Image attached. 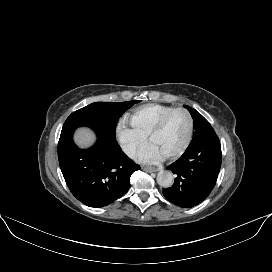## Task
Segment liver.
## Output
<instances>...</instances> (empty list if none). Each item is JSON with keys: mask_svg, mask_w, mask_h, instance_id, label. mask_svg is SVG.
Returning <instances> with one entry per match:
<instances>
[{"mask_svg": "<svg viewBox=\"0 0 272 272\" xmlns=\"http://www.w3.org/2000/svg\"><path fill=\"white\" fill-rule=\"evenodd\" d=\"M95 140V136L92 132L87 129H80L75 135V141L81 147L90 146Z\"/></svg>", "mask_w": 272, "mask_h": 272, "instance_id": "1", "label": "liver"}]
</instances>
